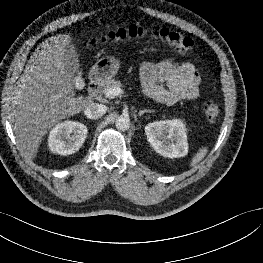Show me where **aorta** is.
<instances>
[{
  "mask_svg": "<svg viewBox=\"0 0 263 263\" xmlns=\"http://www.w3.org/2000/svg\"><path fill=\"white\" fill-rule=\"evenodd\" d=\"M115 125L119 131H126L130 127V119L126 116H120L116 120Z\"/></svg>",
  "mask_w": 263,
  "mask_h": 263,
  "instance_id": "aorta-1",
  "label": "aorta"
}]
</instances>
